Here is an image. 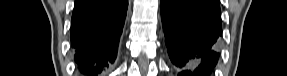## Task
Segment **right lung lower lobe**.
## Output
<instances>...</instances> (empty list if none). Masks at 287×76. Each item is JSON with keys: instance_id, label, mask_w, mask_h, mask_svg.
Masks as SVG:
<instances>
[{"instance_id": "obj_1", "label": "right lung lower lobe", "mask_w": 287, "mask_h": 76, "mask_svg": "<svg viewBox=\"0 0 287 76\" xmlns=\"http://www.w3.org/2000/svg\"><path fill=\"white\" fill-rule=\"evenodd\" d=\"M128 0H75L71 44L82 73L98 76L113 64Z\"/></svg>"}]
</instances>
